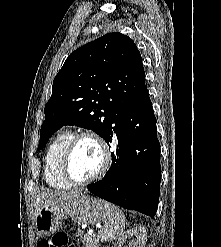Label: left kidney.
Listing matches in <instances>:
<instances>
[{
	"label": "left kidney",
	"instance_id": "1",
	"mask_svg": "<svg viewBox=\"0 0 221 247\" xmlns=\"http://www.w3.org/2000/svg\"><path fill=\"white\" fill-rule=\"evenodd\" d=\"M130 238L135 239L133 247H145L146 228L144 226H137L123 233V235L118 238L119 245L121 246L127 239Z\"/></svg>",
	"mask_w": 221,
	"mask_h": 247
}]
</instances>
